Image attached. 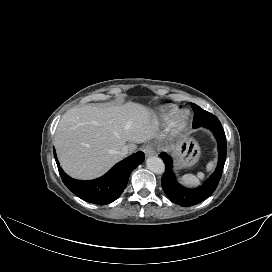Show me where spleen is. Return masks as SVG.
Wrapping results in <instances>:
<instances>
[{"label": "spleen", "instance_id": "obj_1", "mask_svg": "<svg viewBox=\"0 0 272 272\" xmlns=\"http://www.w3.org/2000/svg\"><path fill=\"white\" fill-rule=\"evenodd\" d=\"M214 164L213 162H209L207 165V170H211L213 168ZM204 174L202 172H199L196 175L193 174H186L182 176V182L187 184V185H195L199 182V179L203 178Z\"/></svg>", "mask_w": 272, "mask_h": 272}]
</instances>
